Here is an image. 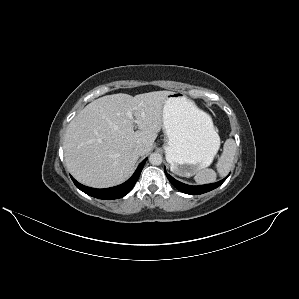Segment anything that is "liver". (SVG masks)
<instances>
[{
	"label": "liver",
	"instance_id": "obj_1",
	"mask_svg": "<svg viewBox=\"0 0 299 299\" xmlns=\"http://www.w3.org/2000/svg\"><path fill=\"white\" fill-rule=\"evenodd\" d=\"M171 93L112 94L85 106L69 123L64 136L68 171L80 183L94 188L123 183L139 159L135 147L143 145L145 154L152 149L163 127L165 99Z\"/></svg>",
	"mask_w": 299,
	"mask_h": 299
}]
</instances>
